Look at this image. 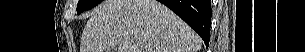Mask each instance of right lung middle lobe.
<instances>
[{"label": "right lung middle lobe", "mask_w": 305, "mask_h": 52, "mask_svg": "<svg viewBox=\"0 0 305 52\" xmlns=\"http://www.w3.org/2000/svg\"><path fill=\"white\" fill-rule=\"evenodd\" d=\"M103 0H80L77 5V14H81L85 10L95 7Z\"/></svg>", "instance_id": "dd1d6c3e"}]
</instances>
